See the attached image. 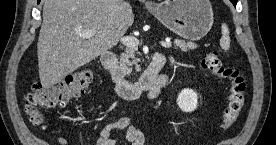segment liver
<instances>
[{
  "label": "liver",
  "mask_w": 276,
  "mask_h": 145,
  "mask_svg": "<svg viewBox=\"0 0 276 145\" xmlns=\"http://www.w3.org/2000/svg\"><path fill=\"white\" fill-rule=\"evenodd\" d=\"M121 0H44L37 43L39 77L46 89L112 48L133 24ZM95 30L90 38L78 32Z\"/></svg>",
  "instance_id": "liver-1"
}]
</instances>
